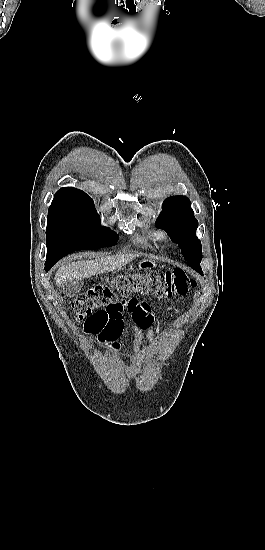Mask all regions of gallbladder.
Segmentation results:
<instances>
[{"instance_id":"bac80fb5","label":"gallbladder","mask_w":265,"mask_h":550,"mask_svg":"<svg viewBox=\"0 0 265 550\" xmlns=\"http://www.w3.org/2000/svg\"><path fill=\"white\" fill-rule=\"evenodd\" d=\"M81 288H82L81 281H79V280H77V281H75V280L74 281H67L63 285V292L68 297H74L80 292Z\"/></svg>"}]
</instances>
